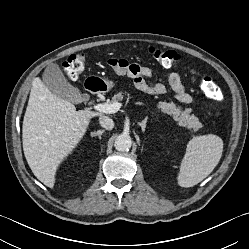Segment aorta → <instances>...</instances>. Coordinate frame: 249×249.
<instances>
[{
	"label": "aorta",
	"instance_id": "obj_1",
	"mask_svg": "<svg viewBox=\"0 0 249 249\" xmlns=\"http://www.w3.org/2000/svg\"><path fill=\"white\" fill-rule=\"evenodd\" d=\"M115 149L121 152L128 151L132 146L131 137L127 134L119 135L114 143Z\"/></svg>",
	"mask_w": 249,
	"mask_h": 249
}]
</instances>
